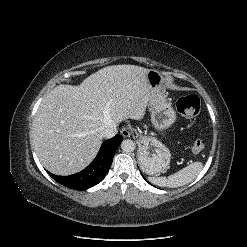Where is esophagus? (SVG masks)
Returning <instances> with one entry per match:
<instances>
[{
	"label": "esophagus",
	"mask_w": 247,
	"mask_h": 247,
	"mask_svg": "<svg viewBox=\"0 0 247 247\" xmlns=\"http://www.w3.org/2000/svg\"><path fill=\"white\" fill-rule=\"evenodd\" d=\"M120 133L123 137L127 138V137H130L132 135V129L130 128V126H124L120 130Z\"/></svg>",
	"instance_id": "esophagus-1"
}]
</instances>
